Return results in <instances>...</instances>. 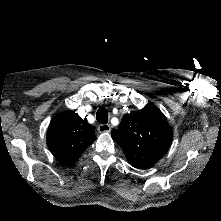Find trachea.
I'll list each match as a JSON object with an SVG mask.
<instances>
[{
  "instance_id": "trachea-1",
  "label": "trachea",
  "mask_w": 221,
  "mask_h": 221,
  "mask_svg": "<svg viewBox=\"0 0 221 221\" xmlns=\"http://www.w3.org/2000/svg\"><path fill=\"white\" fill-rule=\"evenodd\" d=\"M96 120L101 124L108 123V111L104 107H100L96 113Z\"/></svg>"
}]
</instances>
